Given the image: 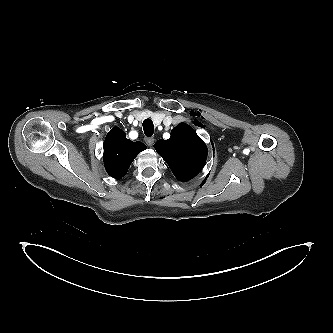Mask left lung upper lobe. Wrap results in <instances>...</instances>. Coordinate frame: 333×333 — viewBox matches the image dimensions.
Here are the masks:
<instances>
[{
  "mask_svg": "<svg viewBox=\"0 0 333 333\" xmlns=\"http://www.w3.org/2000/svg\"><path fill=\"white\" fill-rule=\"evenodd\" d=\"M154 148L182 182L189 181L201 171L208 154L205 143L184 123L171 131L168 140H158Z\"/></svg>",
  "mask_w": 333,
  "mask_h": 333,
  "instance_id": "left-lung-upper-lobe-1",
  "label": "left lung upper lobe"
}]
</instances>
